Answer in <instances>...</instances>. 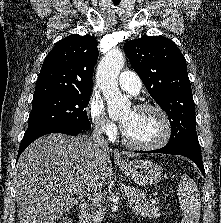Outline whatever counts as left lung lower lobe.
<instances>
[{"label":"left lung lower lobe","instance_id":"obj_1","mask_svg":"<svg viewBox=\"0 0 221 223\" xmlns=\"http://www.w3.org/2000/svg\"><path fill=\"white\" fill-rule=\"evenodd\" d=\"M144 153H165V154L185 156L191 159L199 167L200 171L205 176V170L201 156V149L198 141H184L171 145L167 144L165 147L161 149L146 151Z\"/></svg>","mask_w":221,"mask_h":223}]
</instances>
